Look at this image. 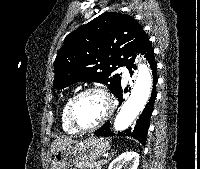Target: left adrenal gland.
I'll return each instance as SVG.
<instances>
[{
    "label": "left adrenal gland",
    "mask_w": 200,
    "mask_h": 169,
    "mask_svg": "<svg viewBox=\"0 0 200 169\" xmlns=\"http://www.w3.org/2000/svg\"><path fill=\"white\" fill-rule=\"evenodd\" d=\"M114 153H115L114 150H112V151H111V154H110V157L108 158V161L111 159V156H113ZM106 163H107V162H106Z\"/></svg>",
    "instance_id": "obj_1"
}]
</instances>
